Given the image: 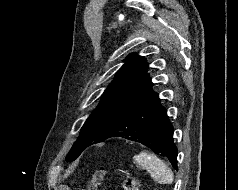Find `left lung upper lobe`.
I'll return each instance as SVG.
<instances>
[{
	"instance_id": "5c2ea615",
	"label": "left lung upper lobe",
	"mask_w": 238,
	"mask_h": 190,
	"mask_svg": "<svg viewBox=\"0 0 238 190\" xmlns=\"http://www.w3.org/2000/svg\"><path fill=\"white\" fill-rule=\"evenodd\" d=\"M125 61L81 128L66 160H75L86 147L103 141L122 113L153 85L146 72L148 64L143 57L131 54Z\"/></svg>"
}]
</instances>
